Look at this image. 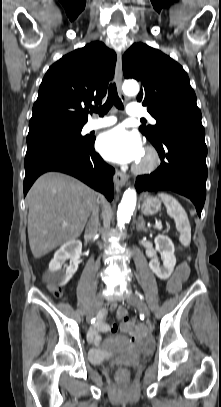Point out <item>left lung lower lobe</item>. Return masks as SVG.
Wrapping results in <instances>:
<instances>
[{"mask_svg":"<svg viewBox=\"0 0 221 407\" xmlns=\"http://www.w3.org/2000/svg\"><path fill=\"white\" fill-rule=\"evenodd\" d=\"M161 165L150 175L138 176V192L171 190L191 199L199 216L206 198L207 147L201 123L180 121L162 129L151 141Z\"/></svg>","mask_w":221,"mask_h":407,"instance_id":"1","label":"left lung lower lobe"}]
</instances>
